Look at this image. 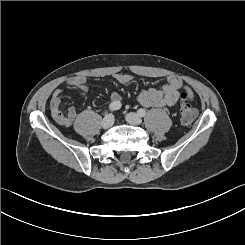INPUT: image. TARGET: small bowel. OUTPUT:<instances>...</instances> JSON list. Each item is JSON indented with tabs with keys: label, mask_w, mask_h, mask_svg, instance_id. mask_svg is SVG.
Wrapping results in <instances>:
<instances>
[{
	"label": "small bowel",
	"mask_w": 245,
	"mask_h": 245,
	"mask_svg": "<svg viewBox=\"0 0 245 245\" xmlns=\"http://www.w3.org/2000/svg\"><path fill=\"white\" fill-rule=\"evenodd\" d=\"M114 79L121 84H128L132 81V76L126 73L114 74ZM68 85L79 88L83 92H86L87 79L84 76H73L67 80ZM185 89L188 98H193L192 91L183 85L182 80L175 75L168 76L165 84L160 89L144 88L141 89L137 96L138 102L145 107H172L176 105L179 96L180 89ZM111 103L120 102L121 96L117 92H113L110 96ZM62 91L56 89L53 92L50 101V111L52 118L61 126H72L74 120L77 117V111L71 107L66 113L61 111ZM110 103V104H111Z\"/></svg>",
	"instance_id": "obj_1"
}]
</instances>
